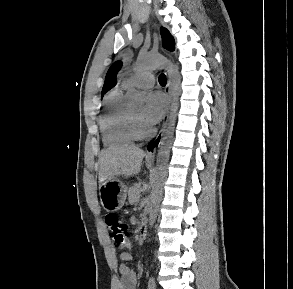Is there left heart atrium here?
<instances>
[{
  "mask_svg": "<svg viewBox=\"0 0 293 289\" xmlns=\"http://www.w3.org/2000/svg\"><path fill=\"white\" fill-rule=\"evenodd\" d=\"M167 102L163 94L150 92L146 97V105L143 112V121L150 127L158 123L163 117Z\"/></svg>",
  "mask_w": 293,
  "mask_h": 289,
  "instance_id": "1",
  "label": "left heart atrium"
}]
</instances>
